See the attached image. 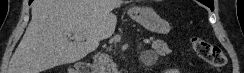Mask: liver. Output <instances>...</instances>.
<instances>
[{
    "label": "liver",
    "instance_id": "obj_1",
    "mask_svg": "<svg viewBox=\"0 0 244 73\" xmlns=\"http://www.w3.org/2000/svg\"><path fill=\"white\" fill-rule=\"evenodd\" d=\"M120 4L121 0H35L8 73H42L81 60L113 35L117 18L111 11Z\"/></svg>",
    "mask_w": 244,
    "mask_h": 73
}]
</instances>
